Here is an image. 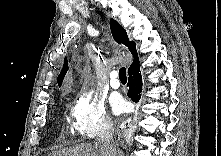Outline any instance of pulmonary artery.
Instances as JSON below:
<instances>
[{
    "instance_id": "pulmonary-artery-1",
    "label": "pulmonary artery",
    "mask_w": 221,
    "mask_h": 156,
    "mask_svg": "<svg viewBox=\"0 0 221 156\" xmlns=\"http://www.w3.org/2000/svg\"><path fill=\"white\" fill-rule=\"evenodd\" d=\"M110 86L113 89H118L120 87V81L118 80V72L112 71L110 74Z\"/></svg>"
}]
</instances>
